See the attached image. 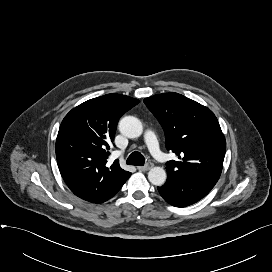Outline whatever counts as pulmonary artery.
<instances>
[{"instance_id":"e3ab8cb5","label":"pulmonary artery","mask_w":272,"mask_h":272,"mask_svg":"<svg viewBox=\"0 0 272 272\" xmlns=\"http://www.w3.org/2000/svg\"><path fill=\"white\" fill-rule=\"evenodd\" d=\"M144 139H145L147 147L150 150V152L152 153V155L160 161H165L166 156L161 152V150L159 148L157 137H156L154 131L151 129L146 130L145 135H144Z\"/></svg>"}]
</instances>
